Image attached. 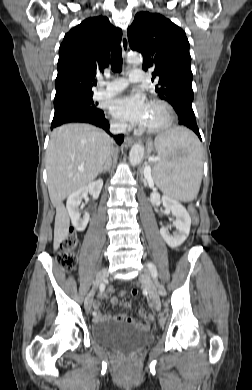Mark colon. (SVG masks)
<instances>
[{"label":"colon","instance_id":"obj_1","mask_svg":"<svg viewBox=\"0 0 252 390\" xmlns=\"http://www.w3.org/2000/svg\"><path fill=\"white\" fill-rule=\"evenodd\" d=\"M189 212L192 216V221L196 225L198 223L197 211L194 205L189 206ZM79 246V240L74 233H70L62 242L60 251L57 254L56 261L59 266L66 272L75 268L78 262L76 250ZM124 292V290H121ZM138 291L133 289L131 295L136 296ZM149 319V318H148Z\"/></svg>","mask_w":252,"mask_h":390}]
</instances>
